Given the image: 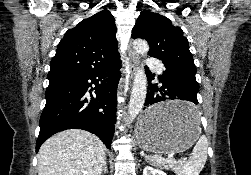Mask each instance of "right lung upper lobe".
<instances>
[{
  "label": "right lung upper lobe",
  "mask_w": 251,
  "mask_h": 175,
  "mask_svg": "<svg viewBox=\"0 0 251 175\" xmlns=\"http://www.w3.org/2000/svg\"><path fill=\"white\" fill-rule=\"evenodd\" d=\"M115 20L102 10L69 29L50 63L48 79L102 69L119 58Z\"/></svg>",
  "instance_id": "obj_1"
}]
</instances>
